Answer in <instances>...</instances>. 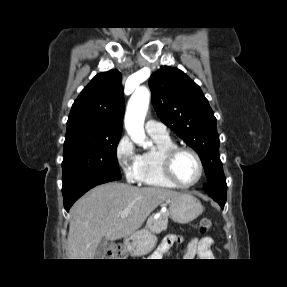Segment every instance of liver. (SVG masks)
Returning <instances> with one entry per match:
<instances>
[{"label":"liver","mask_w":287,"mask_h":287,"mask_svg":"<svg viewBox=\"0 0 287 287\" xmlns=\"http://www.w3.org/2000/svg\"><path fill=\"white\" fill-rule=\"evenodd\" d=\"M181 193L159 187L138 188L110 182L96 186L71 208L67 238L69 259H96L102 240H117L134 234L163 202ZM129 209L122 218L120 212Z\"/></svg>","instance_id":"liver-1"}]
</instances>
